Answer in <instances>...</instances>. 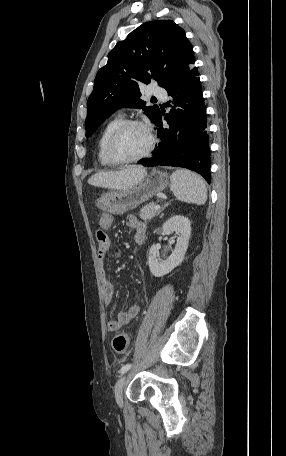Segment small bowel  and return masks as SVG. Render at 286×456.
<instances>
[{"instance_id": "1", "label": "small bowel", "mask_w": 286, "mask_h": 456, "mask_svg": "<svg viewBox=\"0 0 286 456\" xmlns=\"http://www.w3.org/2000/svg\"><path fill=\"white\" fill-rule=\"evenodd\" d=\"M113 224V217L109 213H104L100 216L99 225L100 229L97 232V242H98V260L101 267V277H102V293L105 303H111L114 296V285L111 279L108 276L106 269V259L110 250V239L106 234ZM126 225L134 231L135 240L145 236V224L137 218L135 215H128L126 217ZM115 259L121 257V252L116 251L113 254ZM140 312L139 305H132L126 311H121L117 314V318L108 322L107 329L109 332H116L120 330L123 326L127 325L132 319H134Z\"/></svg>"}]
</instances>
